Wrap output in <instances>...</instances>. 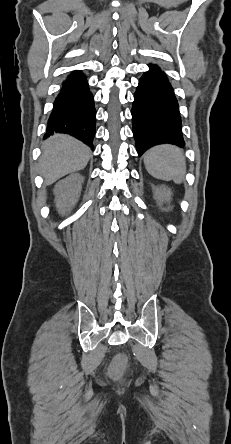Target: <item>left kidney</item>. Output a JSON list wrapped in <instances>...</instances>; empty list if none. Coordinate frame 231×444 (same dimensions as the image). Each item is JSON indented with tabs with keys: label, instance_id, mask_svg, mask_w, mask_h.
I'll use <instances>...</instances> for the list:
<instances>
[{
	"label": "left kidney",
	"instance_id": "left-kidney-1",
	"mask_svg": "<svg viewBox=\"0 0 231 444\" xmlns=\"http://www.w3.org/2000/svg\"><path fill=\"white\" fill-rule=\"evenodd\" d=\"M154 198L158 202V205H161L162 202H170L171 200V189L164 186H153Z\"/></svg>",
	"mask_w": 231,
	"mask_h": 444
}]
</instances>
